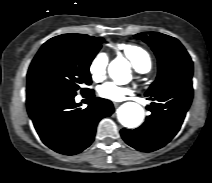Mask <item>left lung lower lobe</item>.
I'll use <instances>...</instances> for the list:
<instances>
[{"mask_svg": "<svg viewBox=\"0 0 212 183\" xmlns=\"http://www.w3.org/2000/svg\"><path fill=\"white\" fill-rule=\"evenodd\" d=\"M145 96L156 100L147 106L151 115L135 130L122 129L121 136L131 147L151 152L165 146L179 131L192 102V81L175 82Z\"/></svg>", "mask_w": 212, "mask_h": 183, "instance_id": "1", "label": "left lung lower lobe"}]
</instances>
